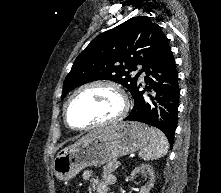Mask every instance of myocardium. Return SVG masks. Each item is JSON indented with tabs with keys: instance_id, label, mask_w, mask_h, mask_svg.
<instances>
[{
	"instance_id": "f54148a6",
	"label": "myocardium",
	"mask_w": 221,
	"mask_h": 193,
	"mask_svg": "<svg viewBox=\"0 0 221 193\" xmlns=\"http://www.w3.org/2000/svg\"><path fill=\"white\" fill-rule=\"evenodd\" d=\"M92 87H108L112 89L113 91H115L120 99V103H121L120 109L112 118H109L107 120H104L98 123H94L89 126L76 127L72 125L68 119L69 105L80 92H82L85 89L92 88ZM128 110H129V101H128L125 91L121 88V86H119L117 83L111 80L98 79V80L89 81L80 85L71 93V95L68 97L63 107V118H64V123L66 124L68 128L74 131H78V132H86V131H90V130H94V129L102 128V127H107V126H111V125H115L119 123L120 121L124 119V117L128 113Z\"/></svg>"
}]
</instances>
